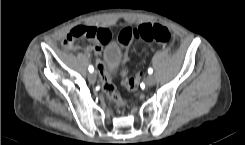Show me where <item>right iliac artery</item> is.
Masks as SVG:
<instances>
[{
	"label": "right iliac artery",
	"mask_w": 245,
	"mask_h": 145,
	"mask_svg": "<svg viewBox=\"0 0 245 145\" xmlns=\"http://www.w3.org/2000/svg\"><path fill=\"white\" fill-rule=\"evenodd\" d=\"M93 71H94V68H93V66L90 65L89 66V72L92 73Z\"/></svg>",
	"instance_id": "1"
}]
</instances>
